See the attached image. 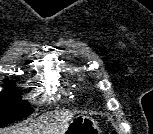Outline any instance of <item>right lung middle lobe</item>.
<instances>
[{
  "instance_id": "1",
  "label": "right lung middle lobe",
  "mask_w": 153,
  "mask_h": 134,
  "mask_svg": "<svg viewBox=\"0 0 153 134\" xmlns=\"http://www.w3.org/2000/svg\"><path fill=\"white\" fill-rule=\"evenodd\" d=\"M4 83L5 90L0 93V127L25 118L33 112L32 107L21 100L18 91H14V83L8 80Z\"/></svg>"
}]
</instances>
